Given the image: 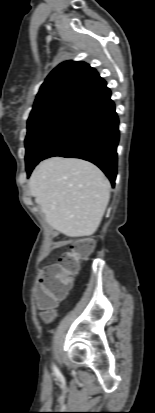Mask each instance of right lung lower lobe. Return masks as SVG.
<instances>
[{"label":"right lung lower lobe","instance_id":"98d812e1","mask_svg":"<svg viewBox=\"0 0 155 413\" xmlns=\"http://www.w3.org/2000/svg\"><path fill=\"white\" fill-rule=\"evenodd\" d=\"M110 96V90L104 87L80 103L65 130L43 159L62 156L90 161L106 174L114 187L119 121ZM35 166L27 170L28 175Z\"/></svg>","mask_w":155,"mask_h":413}]
</instances>
